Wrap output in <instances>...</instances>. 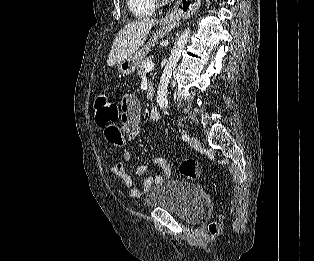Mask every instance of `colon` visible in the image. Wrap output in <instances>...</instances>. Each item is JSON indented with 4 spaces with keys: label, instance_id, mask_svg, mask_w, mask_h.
Wrapping results in <instances>:
<instances>
[{
    "label": "colon",
    "instance_id": "colon-1",
    "mask_svg": "<svg viewBox=\"0 0 314 261\" xmlns=\"http://www.w3.org/2000/svg\"><path fill=\"white\" fill-rule=\"evenodd\" d=\"M94 108L95 122L99 127L105 129L106 124H111L114 120L118 121V106L106 93L100 92L95 96ZM199 171V164L191 159L184 160L180 165L181 174L188 179H196ZM208 230L214 235L218 231V225L213 222L209 224Z\"/></svg>",
    "mask_w": 314,
    "mask_h": 261
}]
</instances>
